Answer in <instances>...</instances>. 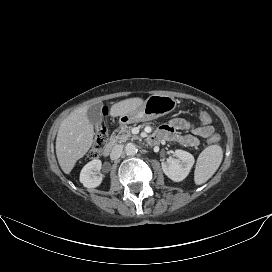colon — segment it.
<instances>
[{
    "label": "colon",
    "mask_w": 272,
    "mask_h": 272,
    "mask_svg": "<svg viewBox=\"0 0 272 272\" xmlns=\"http://www.w3.org/2000/svg\"><path fill=\"white\" fill-rule=\"evenodd\" d=\"M198 118L203 125H209L211 121L209 114H207L206 112H200L198 114ZM219 139L220 138L218 135H212L208 141L209 143H216L219 141ZM107 140H108V131L106 129V126L99 125L95 132L94 142L90 149L89 157L91 158L98 157L101 154L103 148L105 147Z\"/></svg>",
    "instance_id": "5ec220e1"
}]
</instances>
